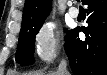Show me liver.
Instances as JSON below:
<instances>
[{"label": "liver", "mask_w": 107, "mask_h": 75, "mask_svg": "<svg viewBox=\"0 0 107 75\" xmlns=\"http://www.w3.org/2000/svg\"><path fill=\"white\" fill-rule=\"evenodd\" d=\"M23 75H44V74H39L37 72H30V73H26V74H23ZM48 75H58V73L54 72V73H50Z\"/></svg>", "instance_id": "liver-1"}]
</instances>
